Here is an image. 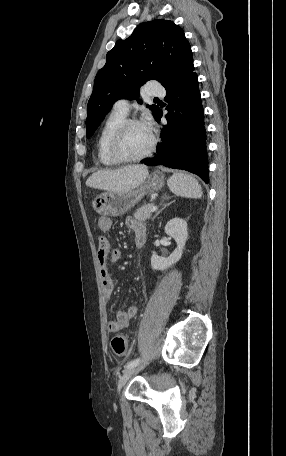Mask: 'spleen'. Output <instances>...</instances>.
Returning <instances> with one entry per match:
<instances>
[{
	"label": "spleen",
	"instance_id": "spleen-1",
	"mask_svg": "<svg viewBox=\"0 0 286 456\" xmlns=\"http://www.w3.org/2000/svg\"><path fill=\"white\" fill-rule=\"evenodd\" d=\"M169 189L177 196L199 199L202 188L197 179L186 173H175L168 180Z\"/></svg>",
	"mask_w": 286,
	"mask_h": 456
}]
</instances>
